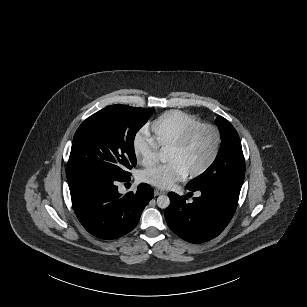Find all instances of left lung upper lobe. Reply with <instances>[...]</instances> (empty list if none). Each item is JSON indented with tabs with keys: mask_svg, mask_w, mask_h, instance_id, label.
Returning a JSON list of instances; mask_svg holds the SVG:
<instances>
[{
	"mask_svg": "<svg viewBox=\"0 0 307 307\" xmlns=\"http://www.w3.org/2000/svg\"><path fill=\"white\" fill-rule=\"evenodd\" d=\"M216 123L221 133V146L212 165L187 183L192 191L221 188L239 194L245 176V160L238 133L232 124L218 116Z\"/></svg>",
	"mask_w": 307,
	"mask_h": 307,
	"instance_id": "5c2ea615",
	"label": "left lung upper lobe"
}]
</instances>
